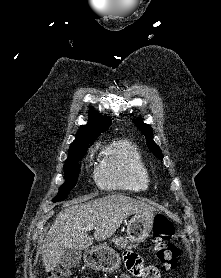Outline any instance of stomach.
<instances>
[{
	"label": "stomach",
	"mask_w": 221,
	"mask_h": 278,
	"mask_svg": "<svg viewBox=\"0 0 221 278\" xmlns=\"http://www.w3.org/2000/svg\"><path fill=\"white\" fill-rule=\"evenodd\" d=\"M153 226V213L135 214L127 225L128 239L136 244L145 241L149 237ZM85 260L89 267L103 272H114L121 264V259L118 253L107 245L94 247L85 255Z\"/></svg>",
	"instance_id": "obj_1"
}]
</instances>
